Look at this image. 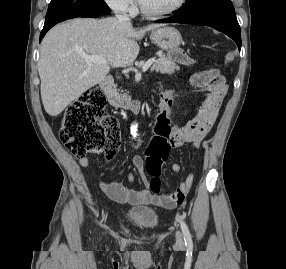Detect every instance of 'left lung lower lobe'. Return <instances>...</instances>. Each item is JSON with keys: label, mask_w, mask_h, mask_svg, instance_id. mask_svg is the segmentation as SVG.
<instances>
[{"label": "left lung lower lobe", "mask_w": 286, "mask_h": 269, "mask_svg": "<svg viewBox=\"0 0 286 269\" xmlns=\"http://www.w3.org/2000/svg\"><path fill=\"white\" fill-rule=\"evenodd\" d=\"M157 23H184L212 27L232 38L240 51L241 32L235 12H203L188 16L176 13L173 17L158 20Z\"/></svg>", "instance_id": "obj_1"}]
</instances>
